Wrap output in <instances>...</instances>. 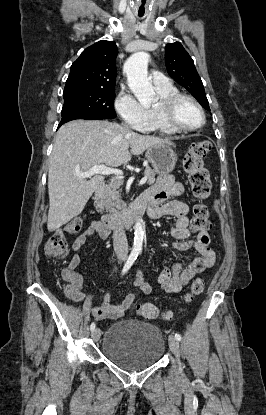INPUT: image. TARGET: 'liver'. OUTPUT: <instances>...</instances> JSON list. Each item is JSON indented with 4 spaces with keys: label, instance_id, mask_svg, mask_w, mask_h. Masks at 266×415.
<instances>
[{
    "label": "liver",
    "instance_id": "liver-1",
    "mask_svg": "<svg viewBox=\"0 0 266 415\" xmlns=\"http://www.w3.org/2000/svg\"><path fill=\"white\" fill-rule=\"evenodd\" d=\"M158 143L170 141L140 135L109 121L75 120L62 125L49 159L48 230L55 231L78 216L104 179L96 175L87 181L76 173L100 164L118 167L128 163L131 155H140Z\"/></svg>",
    "mask_w": 266,
    "mask_h": 415
}]
</instances>
